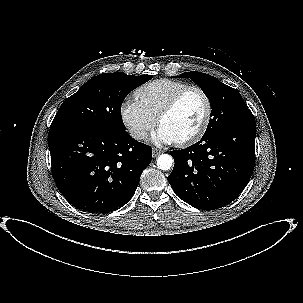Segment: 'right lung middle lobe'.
Instances as JSON below:
<instances>
[{
  "label": "right lung middle lobe",
  "mask_w": 303,
  "mask_h": 303,
  "mask_svg": "<svg viewBox=\"0 0 303 303\" xmlns=\"http://www.w3.org/2000/svg\"><path fill=\"white\" fill-rule=\"evenodd\" d=\"M152 78V75L124 73H103L93 77L63 102L50 130L91 128L108 132L125 131L121 118L122 102L132 90Z\"/></svg>",
  "instance_id": "dd1d6c3e"
}]
</instances>
